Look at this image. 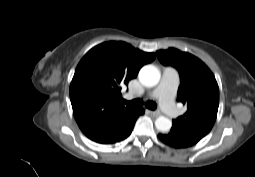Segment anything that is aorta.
<instances>
[{"mask_svg":"<svg viewBox=\"0 0 255 177\" xmlns=\"http://www.w3.org/2000/svg\"><path fill=\"white\" fill-rule=\"evenodd\" d=\"M139 80L146 87H154L160 81V72L154 65H146L139 71ZM157 130L168 132L172 127V122L165 116H159L155 121Z\"/></svg>","mask_w":255,"mask_h":177,"instance_id":"aorta-1","label":"aorta"}]
</instances>
